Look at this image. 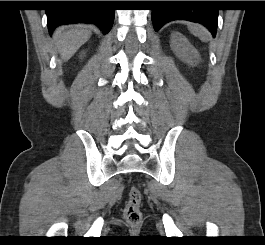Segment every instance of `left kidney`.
Returning a JSON list of instances; mask_svg holds the SVG:
<instances>
[{"label": "left kidney", "mask_w": 265, "mask_h": 245, "mask_svg": "<svg viewBox=\"0 0 265 245\" xmlns=\"http://www.w3.org/2000/svg\"><path fill=\"white\" fill-rule=\"evenodd\" d=\"M171 48L178 58L193 65L199 61V53L188 39L179 32L171 34Z\"/></svg>", "instance_id": "obj_1"}]
</instances>
